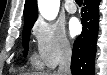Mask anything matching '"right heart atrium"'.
I'll return each instance as SVG.
<instances>
[{
	"label": "right heart atrium",
	"mask_w": 107,
	"mask_h": 75,
	"mask_svg": "<svg viewBox=\"0 0 107 75\" xmlns=\"http://www.w3.org/2000/svg\"><path fill=\"white\" fill-rule=\"evenodd\" d=\"M32 34L38 58L44 66L55 67L71 55L72 46L61 25L38 19L32 26Z\"/></svg>",
	"instance_id": "1"
}]
</instances>
